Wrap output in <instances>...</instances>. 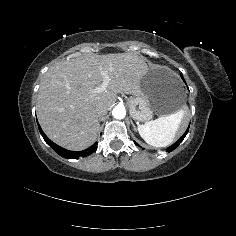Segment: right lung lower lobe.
<instances>
[{
    "label": "right lung lower lobe",
    "mask_w": 236,
    "mask_h": 236,
    "mask_svg": "<svg viewBox=\"0 0 236 236\" xmlns=\"http://www.w3.org/2000/svg\"><path fill=\"white\" fill-rule=\"evenodd\" d=\"M39 131L43 137V139L45 140V142L60 156H62L63 158H67V159H78L79 157H86L90 154H92L96 149H97V142L94 143L91 147L87 148L86 150L83 151H70L67 149H64L60 146H58L57 144H55L54 142H52L42 131L41 127L39 126Z\"/></svg>",
    "instance_id": "98d812e1"
}]
</instances>
